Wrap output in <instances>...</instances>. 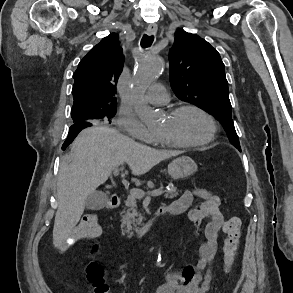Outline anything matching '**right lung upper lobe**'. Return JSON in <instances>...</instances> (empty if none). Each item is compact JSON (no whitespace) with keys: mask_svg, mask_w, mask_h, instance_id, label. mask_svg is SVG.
<instances>
[{"mask_svg":"<svg viewBox=\"0 0 293 293\" xmlns=\"http://www.w3.org/2000/svg\"><path fill=\"white\" fill-rule=\"evenodd\" d=\"M122 68L123 55L118 35L111 33L78 64L73 75L72 108H116V82Z\"/></svg>","mask_w":293,"mask_h":293,"instance_id":"obj_1","label":"right lung upper lobe"}]
</instances>
